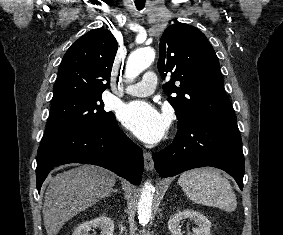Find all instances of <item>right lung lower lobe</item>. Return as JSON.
Returning <instances> with one entry per match:
<instances>
[{
  "instance_id": "obj_1",
  "label": "right lung lower lobe",
  "mask_w": 283,
  "mask_h": 235,
  "mask_svg": "<svg viewBox=\"0 0 283 235\" xmlns=\"http://www.w3.org/2000/svg\"><path fill=\"white\" fill-rule=\"evenodd\" d=\"M67 163L93 164L107 168L132 184H139L143 173V152L119 128L116 118L94 131L76 133L39 147L37 189L54 166Z\"/></svg>"
}]
</instances>
